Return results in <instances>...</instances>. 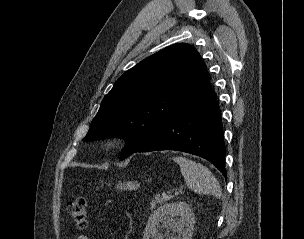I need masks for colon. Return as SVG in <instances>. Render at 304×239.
I'll return each instance as SVG.
<instances>
[{
    "mask_svg": "<svg viewBox=\"0 0 304 239\" xmlns=\"http://www.w3.org/2000/svg\"><path fill=\"white\" fill-rule=\"evenodd\" d=\"M67 212L80 230L87 228V204L85 198L79 197L69 202Z\"/></svg>",
    "mask_w": 304,
    "mask_h": 239,
    "instance_id": "colon-1",
    "label": "colon"
}]
</instances>
